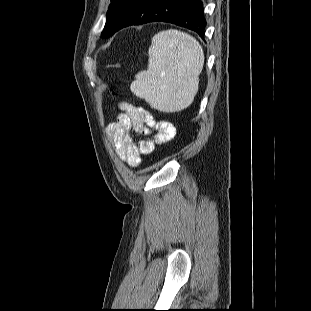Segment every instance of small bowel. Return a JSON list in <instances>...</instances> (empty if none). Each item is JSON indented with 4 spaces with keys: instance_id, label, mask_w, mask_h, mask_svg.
I'll list each match as a JSON object with an SVG mask.
<instances>
[{
    "instance_id": "1",
    "label": "small bowel",
    "mask_w": 311,
    "mask_h": 311,
    "mask_svg": "<svg viewBox=\"0 0 311 311\" xmlns=\"http://www.w3.org/2000/svg\"><path fill=\"white\" fill-rule=\"evenodd\" d=\"M122 112L115 122L107 128V134L114 144L118 157L132 167H137L141 156L153 151L157 144L169 141L174 135V127L168 122H160L144 108L133 106L127 102L119 104ZM158 133L152 137V132ZM133 134L144 135L138 143Z\"/></svg>"
}]
</instances>
